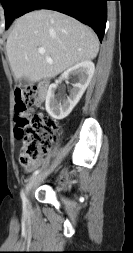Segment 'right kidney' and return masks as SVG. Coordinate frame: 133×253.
Listing matches in <instances>:
<instances>
[{"instance_id": "right-kidney-1", "label": "right kidney", "mask_w": 133, "mask_h": 253, "mask_svg": "<svg viewBox=\"0 0 133 253\" xmlns=\"http://www.w3.org/2000/svg\"><path fill=\"white\" fill-rule=\"evenodd\" d=\"M95 66L91 61H82L73 67L69 68L63 76L54 84L50 85L46 96V111L54 119H63L67 117L73 108L77 105L86 88L88 87ZM72 75L75 78V83L72 84L69 96L61 98L55 95V91L63 78H68Z\"/></svg>"}]
</instances>
